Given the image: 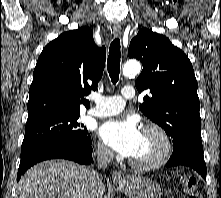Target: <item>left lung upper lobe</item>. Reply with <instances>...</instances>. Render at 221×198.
<instances>
[{"instance_id":"left-lung-upper-lobe-1","label":"left lung upper lobe","mask_w":221,"mask_h":198,"mask_svg":"<svg viewBox=\"0 0 221 198\" xmlns=\"http://www.w3.org/2000/svg\"><path fill=\"white\" fill-rule=\"evenodd\" d=\"M128 56L143 65L135 82L137 90H150L139 107L141 112L165 130L174 151L203 149L197 80L186 54L167 37L142 28L131 40Z\"/></svg>"}]
</instances>
